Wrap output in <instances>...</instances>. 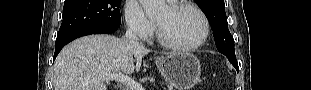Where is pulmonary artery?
Segmentation results:
<instances>
[{"mask_svg": "<svg viewBox=\"0 0 311 90\" xmlns=\"http://www.w3.org/2000/svg\"><path fill=\"white\" fill-rule=\"evenodd\" d=\"M169 3H174L176 2L175 0H168Z\"/></svg>", "mask_w": 311, "mask_h": 90, "instance_id": "1", "label": "pulmonary artery"}]
</instances>
